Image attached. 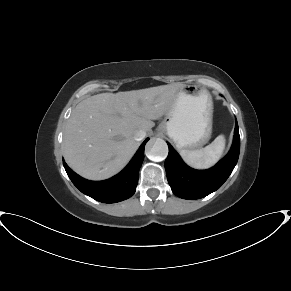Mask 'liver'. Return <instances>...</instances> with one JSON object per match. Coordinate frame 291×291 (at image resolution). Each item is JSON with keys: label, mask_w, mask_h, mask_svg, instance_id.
I'll return each mask as SVG.
<instances>
[{"label": "liver", "mask_w": 291, "mask_h": 291, "mask_svg": "<svg viewBox=\"0 0 291 291\" xmlns=\"http://www.w3.org/2000/svg\"><path fill=\"white\" fill-rule=\"evenodd\" d=\"M182 86L101 93L81 101L64 131L63 154L67 164L91 180L107 179L120 172L139 147L135 132L151 131L152 120L167 113Z\"/></svg>", "instance_id": "liver-1"}]
</instances>
